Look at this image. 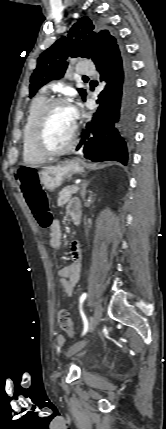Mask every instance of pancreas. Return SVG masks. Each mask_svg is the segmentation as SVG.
Here are the masks:
<instances>
[{"label": "pancreas", "mask_w": 166, "mask_h": 429, "mask_svg": "<svg viewBox=\"0 0 166 429\" xmlns=\"http://www.w3.org/2000/svg\"><path fill=\"white\" fill-rule=\"evenodd\" d=\"M71 196H72V190L69 187L65 188L58 197V200H57L58 206L63 207L71 199Z\"/></svg>", "instance_id": "1"}]
</instances>
